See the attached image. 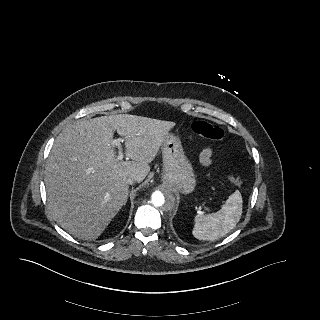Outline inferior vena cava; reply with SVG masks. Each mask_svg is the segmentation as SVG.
I'll return each instance as SVG.
<instances>
[{"mask_svg":"<svg viewBox=\"0 0 320 320\" xmlns=\"http://www.w3.org/2000/svg\"><path fill=\"white\" fill-rule=\"evenodd\" d=\"M135 182H136V177L130 176V177L127 178V183L128 184H133Z\"/></svg>","mask_w":320,"mask_h":320,"instance_id":"inferior-vena-cava-1","label":"inferior vena cava"}]
</instances>
